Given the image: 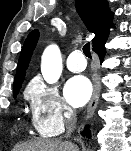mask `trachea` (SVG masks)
I'll return each mask as SVG.
<instances>
[{"label":"trachea","instance_id":"1","mask_svg":"<svg viewBox=\"0 0 131 151\" xmlns=\"http://www.w3.org/2000/svg\"><path fill=\"white\" fill-rule=\"evenodd\" d=\"M83 53L88 57V58H91V52H90V44L89 42L86 43L84 46H83Z\"/></svg>","mask_w":131,"mask_h":151}]
</instances>
